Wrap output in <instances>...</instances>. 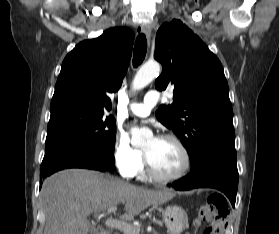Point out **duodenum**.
<instances>
[{
	"label": "duodenum",
	"mask_w": 279,
	"mask_h": 234,
	"mask_svg": "<svg viewBox=\"0 0 279 234\" xmlns=\"http://www.w3.org/2000/svg\"><path fill=\"white\" fill-rule=\"evenodd\" d=\"M98 234H110V233L108 231H102V232H100Z\"/></svg>",
	"instance_id": "410a0bca"
}]
</instances>
